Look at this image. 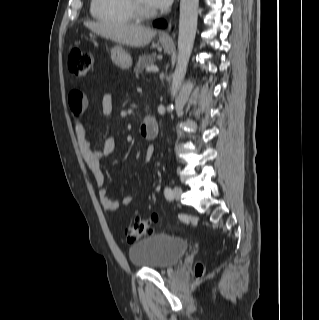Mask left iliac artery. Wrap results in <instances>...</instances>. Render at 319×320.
Listing matches in <instances>:
<instances>
[{"mask_svg":"<svg viewBox=\"0 0 319 320\" xmlns=\"http://www.w3.org/2000/svg\"><path fill=\"white\" fill-rule=\"evenodd\" d=\"M164 195H165L166 199H168V200L173 199V192L170 187H168V186L165 187Z\"/></svg>","mask_w":319,"mask_h":320,"instance_id":"obj_1","label":"left iliac artery"}]
</instances>
